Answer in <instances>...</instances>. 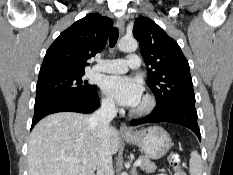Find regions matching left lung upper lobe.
Returning a JSON list of instances; mask_svg holds the SVG:
<instances>
[{"label": "left lung upper lobe", "instance_id": "left-lung-upper-lobe-1", "mask_svg": "<svg viewBox=\"0 0 233 175\" xmlns=\"http://www.w3.org/2000/svg\"><path fill=\"white\" fill-rule=\"evenodd\" d=\"M133 34L139 41L147 69V85L156 97L154 111H163L178 104H195L189 64L177 42L154 21L136 19Z\"/></svg>", "mask_w": 233, "mask_h": 175}]
</instances>
